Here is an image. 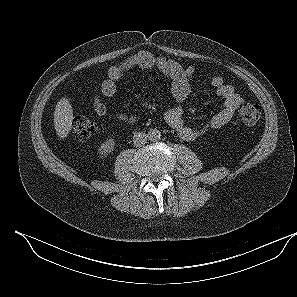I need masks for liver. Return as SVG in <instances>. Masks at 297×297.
Masks as SVG:
<instances>
[{
  "instance_id": "obj_1",
  "label": "liver",
  "mask_w": 297,
  "mask_h": 297,
  "mask_svg": "<svg viewBox=\"0 0 297 297\" xmlns=\"http://www.w3.org/2000/svg\"><path fill=\"white\" fill-rule=\"evenodd\" d=\"M73 118V109L69 99L61 98L54 111V128L60 139L69 135Z\"/></svg>"
}]
</instances>
